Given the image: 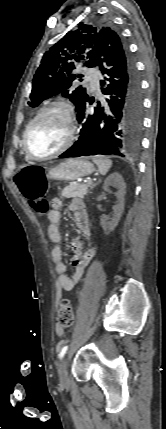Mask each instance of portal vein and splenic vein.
I'll return each instance as SVG.
<instances>
[{
	"mask_svg": "<svg viewBox=\"0 0 166 429\" xmlns=\"http://www.w3.org/2000/svg\"><path fill=\"white\" fill-rule=\"evenodd\" d=\"M87 183H90V182H92V180L90 179V180H88V181H86Z\"/></svg>",
	"mask_w": 166,
	"mask_h": 429,
	"instance_id": "1",
	"label": "portal vein and splenic vein"
}]
</instances>
